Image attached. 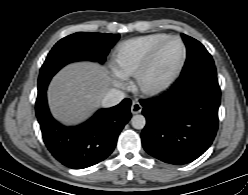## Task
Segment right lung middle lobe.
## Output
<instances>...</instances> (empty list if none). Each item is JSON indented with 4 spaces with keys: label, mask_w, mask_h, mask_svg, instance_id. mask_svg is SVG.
<instances>
[{
    "label": "right lung middle lobe",
    "mask_w": 248,
    "mask_h": 195,
    "mask_svg": "<svg viewBox=\"0 0 248 195\" xmlns=\"http://www.w3.org/2000/svg\"><path fill=\"white\" fill-rule=\"evenodd\" d=\"M118 34L77 32L58 41L41 67L38 83L52 77L68 63L91 60L103 63Z\"/></svg>",
    "instance_id": "obj_1"
}]
</instances>
